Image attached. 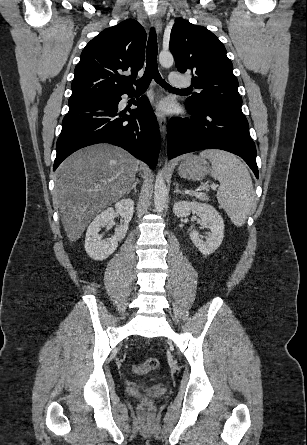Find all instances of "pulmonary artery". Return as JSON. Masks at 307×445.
<instances>
[{"label":"pulmonary artery","mask_w":307,"mask_h":445,"mask_svg":"<svg viewBox=\"0 0 307 445\" xmlns=\"http://www.w3.org/2000/svg\"><path fill=\"white\" fill-rule=\"evenodd\" d=\"M167 83L175 84L176 90H189L191 88L187 75H176L175 71H172L171 75L167 76Z\"/></svg>","instance_id":"pulmonary-artery-1"}]
</instances>
